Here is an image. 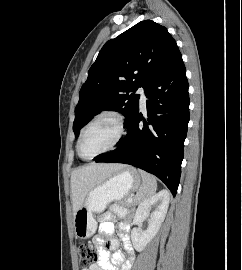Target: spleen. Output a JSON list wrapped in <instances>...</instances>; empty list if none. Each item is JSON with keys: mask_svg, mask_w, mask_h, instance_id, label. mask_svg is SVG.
Returning a JSON list of instances; mask_svg holds the SVG:
<instances>
[{"mask_svg": "<svg viewBox=\"0 0 242 270\" xmlns=\"http://www.w3.org/2000/svg\"><path fill=\"white\" fill-rule=\"evenodd\" d=\"M139 173L142 177V185L140 186L135 196L136 203H141L144 200L150 198L155 194L157 189V182L153 175L142 170H140Z\"/></svg>", "mask_w": 242, "mask_h": 270, "instance_id": "spleen-1", "label": "spleen"}]
</instances>
